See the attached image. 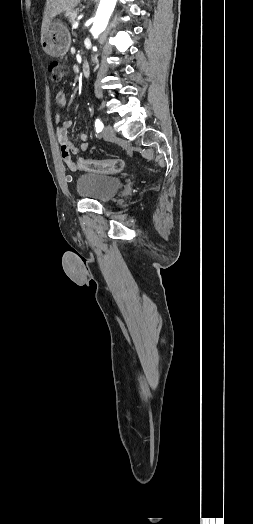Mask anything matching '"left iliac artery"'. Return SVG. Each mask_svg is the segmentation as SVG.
<instances>
[{
    "label": "left iliac artery",
    "mask_w": 253,
    "mask_h": 524,
    "mask_svg": "<svg viewBox=\"0 0 253 524\" xmlns=\"http://www.w3.org/2000/svg\"><path fill=\"white\" fill-rule=\"evenodd\" d=\"M95 127H96V132L99 133L102 131L103 129V123L101 122L100 119H96L95 121Z\"/></svg>",
    "instance_id": "44dca946"
}]
</instances>
